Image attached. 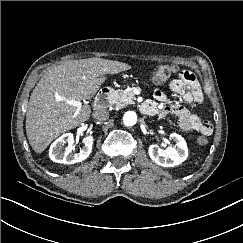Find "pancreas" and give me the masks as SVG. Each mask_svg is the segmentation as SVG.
<instances>
[{
	"label": "pancreas",
	"instance_id": "pancreas-1",
	"mask_svg": "<svg viewBox=\"0 0 243 243\" xmlns=\"http://www.w3.org/2000/svg\"><path fill=\"white\" fill-rule=\"evenodd\" d=\"M134 98L135 94L133 93V89L128 88L126 90L112 92L108 96L107 102L110 106L114 105L115 108H122L129 104H132Z\"/></svg>",
	"mask_w": 243,
	"mask_h": 243
}]
</instances>
